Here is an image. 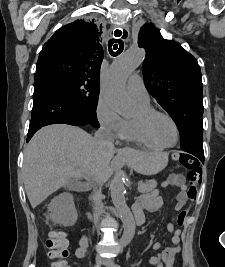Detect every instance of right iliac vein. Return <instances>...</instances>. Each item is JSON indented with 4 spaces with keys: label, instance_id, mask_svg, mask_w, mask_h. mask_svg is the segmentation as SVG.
<instances>
[{
    "label": "right iliac vein",
    "instance_id": "1",
    "mask_svg": "<svg viewBox=\"0 0 225 267\" xmlns=\"http://www.w3.org/2000/svg\"><path fill=\"white\" fill-rule=\"evenodd\" d=\"M102 262L101 257L98 255L95 259V267H99Z\"/></svg>",
    "mask_w": 225,
    "mask_h": 267
}]
</instances>
